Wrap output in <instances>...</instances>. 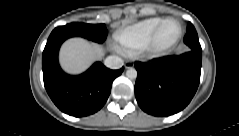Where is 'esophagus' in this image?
<instances>
[{
  "label": "esophagus",
  "instance_id": "34e87169",
  "mask_svg": "<svg viewBox=\"0 0 239 136\" xmlns=\"http://www.w3.org/2000/svg\"><path fill=\"white\" fill-rule=\"evenodd\" d=\"M134 64L132 62H127L125 65V68H130L132 67Z\"/></svg>",
  "mask_w": 239,
  "mask_h": 136
}]
</instances>
